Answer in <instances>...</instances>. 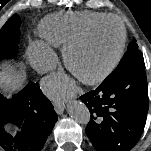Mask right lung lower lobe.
<instances>
[{"label":"right lung lower lobe","mask_w":151,"mask_h":151,"mask_svg":"<svg viewBox=\"0 0 151 151\" xmlns=\"http://www.w3.org/2000/svg\"><path fill=\"white\" fill-rule=\"evenodd\" d=\"M56 121L53 105L38 83L29 82L11 99L0 94V150L41 151ZM5 124L19 128L15 137L5 132Z\"/></svg>","instance_id":"98d812e1"}]
</instances>
